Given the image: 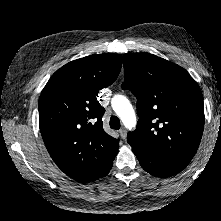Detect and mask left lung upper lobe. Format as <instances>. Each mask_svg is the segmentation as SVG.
<instances>
[{
    "label": "left lung upper lobe",
    "instance_id": "1",
    "mask_svg": "<svg viewBox=\"0 0 221 221\" xmlns=\"http://www.w3.org/2000/svg\"><path fill=\"white\" fill-rule=\"evenodd\" d=\"M125 82L137 98L139 120L128 133L132 149L189 164L204 129L203 96L190 74L150 53L124 55Z\"/></svg>",
    "mask_w": 221,
    "mask_h": 221
}]
</instances>
